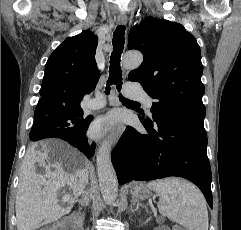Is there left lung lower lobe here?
Instances as JSON below:
<instances>
[{
  "instance_id": "obj_1",
  "label": "left lung lower lobe",
  "mask_w": 241,
  "mask_h": 230,
  "mask_svg": "<svg viewBox=\"0 0 241 230\" xmlns=\"http://www.w3.org/2000/svg\"><path fill=\"white\" fill-rule=\"evenodd\" d=\"M153 123L140 117L148 134L128 126L111 154L118 182L183 177L196 184L212 208L211 168L204 120L167 110Z\"/></svg>"
}]
</instances>
